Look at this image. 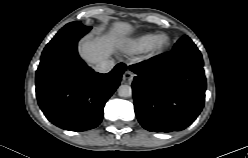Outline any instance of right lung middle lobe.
Segmentation results:
<instances>
[{"instance_id":"right-lung-middle-lobe-1","label":"right lung middle lobe","mask_w":248,"mask_h":158,"mask_svg":"<svg viewBox=\"0 0 248 158\" xmlns=\"http://www.w3.org/2000/svg\"><path fill=\"white\" fill-rule=\"evenodd\" d=\"M82 24H80L79 22H71L66 24L63 28L67 29V28H74V27H80Z\"/></svg>"}]
</instances>
